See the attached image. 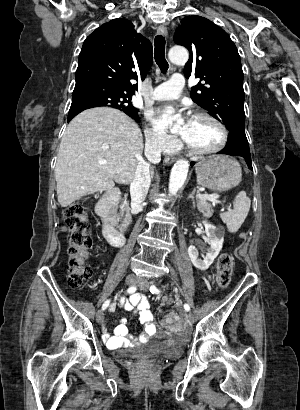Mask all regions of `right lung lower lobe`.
Wrapping results in <instances>:
<instances>
[{
  "mask_svg": "<svg viewBox=\"0 0 300 410\" xmlns=\"http://www.w3.org/2000/svg\"><path fill=\"white\" fill-rule=\"evenodd\" d=\"M76 115H77V114L68 116V122H69L73 117H75ZM132 118H133V117H132Z\"/></svg>",
  "mask_w": 300,
  "mask_h": 410,
  "instance_id": "98d812e1",
  "label": "right lung lower lobe"
}]
</instances>
